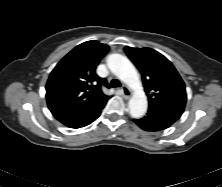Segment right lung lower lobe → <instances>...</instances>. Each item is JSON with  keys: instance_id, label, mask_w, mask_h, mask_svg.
I'll return each instance as SVG.
<instances>
[{"instance_id": "right-lung-lower-lobe-1", "label": "right lung lower lobe", "mask_w": 222, "mask_h": 187, "mask_svg": "<svg viewBox=\"0 0 222 187\" xmlns=\"http://www.w3.org/2000/svg\"><path fill=\"white\" fill-rule=\"evenodd\" d=\"M103 107L86 112L50 111L54 117L65 126L70 128H81L96 120L100 116Z\"/></svg>"}]
</instances>
